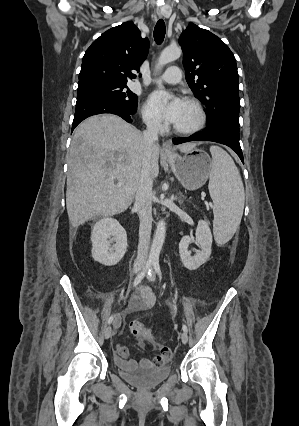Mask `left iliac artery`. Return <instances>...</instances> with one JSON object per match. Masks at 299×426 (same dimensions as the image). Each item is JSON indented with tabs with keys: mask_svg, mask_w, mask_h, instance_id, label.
Here are the masks:
<instances>
[{
	"mask_svg": "<svg viewBox=\"0 0 299 426\" xmlns=\"http://www.w3.org/2000/svg\"><path fill=\"white\" fill-rule=\"evenodd\" d=\"M153 267H154L156 273L158 274V276L161 278L162 277V273H161L159 262L158 261H154L153 262ZM148 274L150 275V272ZM182 329H183L184 332H186V333L188 332V328H187V326L185 324L182 325Z\"/></svg>",
	"mask_w": 299,
	"mask_h": 426,
	"instance_id": "left-iliac-artery-1",
	"label": "left iliac artery"
}]
</instances>
